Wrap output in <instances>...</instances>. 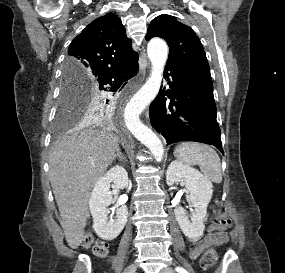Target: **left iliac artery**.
<instances>
[{
  "mask_svg": "<svg viewBox=\"0 0 285 273\" xmlns=\"http://www.w3.org/2000/svg\"><path fill=\"white\" fill-rule=\"evenodd\" d=\"M175 270L178 272V273H188L183 267H176Z\"/></svg>",
  "mask_w": 285,
  "mask_h": 273,
  "instance_id": "obj_1",
  "label": "left iliac artery"
}]
</instances>
